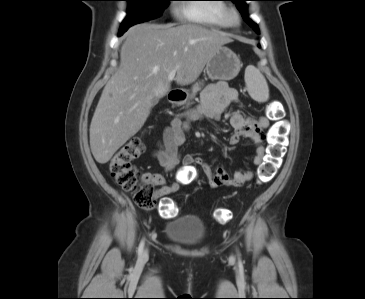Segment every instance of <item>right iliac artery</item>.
Segmentation results:
<instances>
[{
  "instance_id": "right-iliac-artery-1",
  "label": "right iliac artery",
  "mask_w": 365,
  "mask_h": 299,
  "mask_svg": "<svg viewBox=\"0 0 365 299\" xmlns=\"http://www.w3.org/2000/svg\"><path fill=\"white\" fill-rule=\"evenodd\" d=\"M144 244H145V240L142 239L141 242H140V244H139V247H138V255L139 256L142 255V253H143Z\"/></svg>"
}]
</instances>
